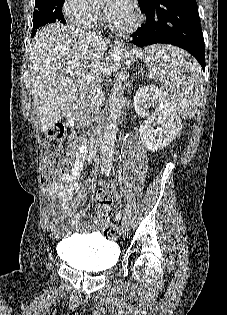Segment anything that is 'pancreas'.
<instances>
[{"instance_id":"1","label":"pancreas","mask_w":227,"mask_h":315,"mask_svg":"<svg viewBox=\"0 0 227 315\" xmlns=\"http://www.w3.org/2000/svg\"><path fill=\"white\" fill-rule=\"evenodd\" d=\"M92 91L93 89L88 92L85 102L76 114L77 121L83 126H88L97 119L95 115L100 111L104 99L103 94L99 98H95Z\"/></svg>"}]
</instances>
